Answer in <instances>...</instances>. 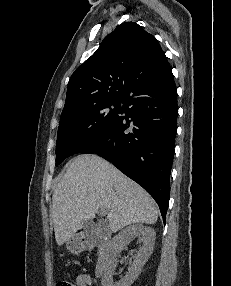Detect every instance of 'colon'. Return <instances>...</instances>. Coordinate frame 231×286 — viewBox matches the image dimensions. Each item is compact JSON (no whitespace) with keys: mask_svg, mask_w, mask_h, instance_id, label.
I'll use <instances>...</instances> for the list:
<instances>
[{"mask_svg":"<svg viewBox=\"0 0 231 286\" xmlns=\"http://www.w3.org/2000/svg\"><path fill=\"white\" fill-rule=\"evenodd\" d=\"M56 286H76L75 283L69 281H61Z\"/></svg>","mask_w":231,"mask_h":286,"instance_id":"1","label":"colon"}]
</instances>
